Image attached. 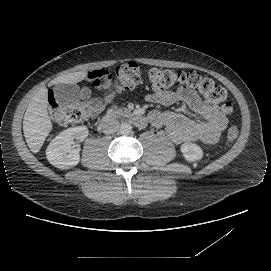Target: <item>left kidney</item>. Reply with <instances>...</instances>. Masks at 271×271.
I'll list each match as a JSON object with an SVG mask.
<instances>
[{
	"label": "left kidney",
	"instance_id": "left-kidney-1",
	"mask_svg": "<svg viewBox=\"0 0 271 271\" xmlns=\"http://www.w3.org/2000/svg\"><path fill=\"white\" fill-rule=\"evenodd\" d=\"M182 152L188 160L200 159L202 156L201 149L193 143H185Z\"/></svg>",
	"mask_w": 271,
	"mask_h": 271
}]
</instances>
